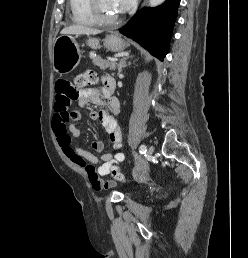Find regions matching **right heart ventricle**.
I'll list each match as a JSON object with an SVG mask.
<instances>
[{
  "label": "right heart ventricle",
  "instance_id": "right-heart-ventricle-1",
  "mask_svg": "<svg viewBox=\"0 0 248 258\" xmlns=\"http://www.w3.org/2000/svg\"><path fill=\"white\" fill-rule=\"evenodd\" d=\"M72 20L81 25H94L96 22L93 19L89 10V0H69Z\"/></svg>",
  "mask_w": 248,
  "mask_h": 258
}]
</instances>
